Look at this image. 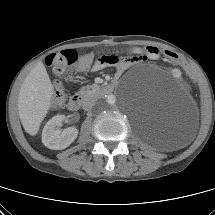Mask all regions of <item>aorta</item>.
Instances as JSON below:
<instances>
[{
	"mask_svg": "<svg viewBox=\"0 0 215 215\" xmlns=\"http://www.w3.org/2000/svg\"><path fill=\"white\" fill-rule=\"evenodd\" d=\"M116 102V97L113 94H108L107 96L103 97L100 101V104L103 108H112Z\"/></svg>",
	"mask_w": 215,
	"mask_h": 215,
	"instance_id": "1",
	"label": "aorta"
}]
</instances>
